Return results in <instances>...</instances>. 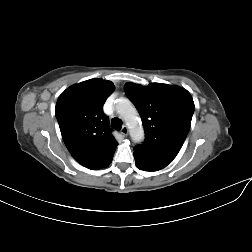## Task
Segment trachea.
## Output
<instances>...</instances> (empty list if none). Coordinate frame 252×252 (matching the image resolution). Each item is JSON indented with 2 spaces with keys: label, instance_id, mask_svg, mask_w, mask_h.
I'll use <instances>...</instances> for the list:
<instances>
[{
  "label": "trachea",
  "instance_id": "obj_1",
  "mask_svg": "<svg viewBox=\"0 0 252 252\" xmlns=\"http://www.w3.org/2000/svg\"><path fill=\"white\" fill-rule=\"evenodd\" d=\"M111 127L116 129V130H120L122 128V121L119 118H113L111 120Z\"/></svg>",
  "mask_w": 252,
  "mask_h": 252
}]
</instances>
